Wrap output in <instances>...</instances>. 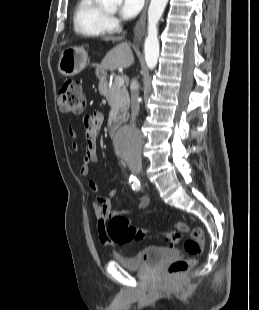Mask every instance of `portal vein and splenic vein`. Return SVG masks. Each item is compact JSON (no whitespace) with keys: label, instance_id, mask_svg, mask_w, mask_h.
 <instances>
[{"label":"portal vein and splenic vein","instance_id":"1","mask_svg":"<svg viewBox=\"0 0 259 310\" xmlns=\"http://www.w3.org/2000/svg\"><path fill=\"white\" fill-rule=\"evenodd\" d=\"M114 84L117 87H122L124 85V78L122 76H116L114 79Z\"/></svg>","mask_w":259,"mask_h":310}]
</instances>
